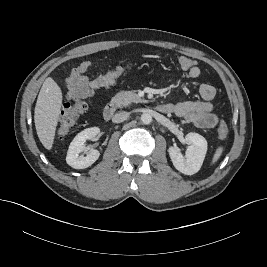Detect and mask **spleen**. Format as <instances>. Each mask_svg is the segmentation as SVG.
<instances>
[{"mask_svg":"<svg viewBox=\"0 0 267 267\" xmlns=\"http://www.w3.org/2000/svg\"><path fill=\"white\" fill-rule=\"evenodd\" d=\"M223 153V147H218L213 155V159H212V163L214 164L215 162H217L219 160V158L221 157Z\"/></svg>","mask_w":267,"mask_h":267,"instance_id":"spleen-1","label":"spleen"}]
</instances>
